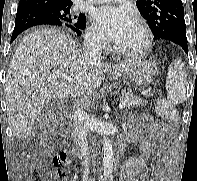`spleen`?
<instances>
[{"instance_id":"spleen-1","label":"spleen","mask_w":197,"mask_h":181,"mask_svg":"<svg viewBox=\"0 0 197 181\" xmlns=\"http://www.w3.org/2000/svg\"><path fill=\"white\" fill-rule=\"evenodd\" d=\"M187 75L184 64L180 60H174L168 68L166 78L167 100L178 105L186 99Z\"/></svg>"}]
</instances>
